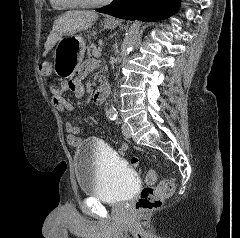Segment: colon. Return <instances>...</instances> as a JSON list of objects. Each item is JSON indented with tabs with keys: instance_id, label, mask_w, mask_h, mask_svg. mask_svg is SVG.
Segmentation results:
<instances>
[{
	"instance_id": "colon-1",
	"label": "colon",
	"mask_w": 240,
	"mask_h": 238,
	"mask_svg": "<svg viewBox=\"0 0 240 238\" xmlns=\"http://www.w3.org/2000/svg\"><path fill=\"white\" fill-rule=\"evenodd\" d=\"M38 72L44 78H49L52 74V64L43 60L38 64ZM146 182L154 184L157 180L155 170H149L145 176ZM174 192V183L170 179H164L156 185H150L142 189L135 209L138 213H146L161 206L163 200L171 196Z\"/></svg>"
}]
</instances>
